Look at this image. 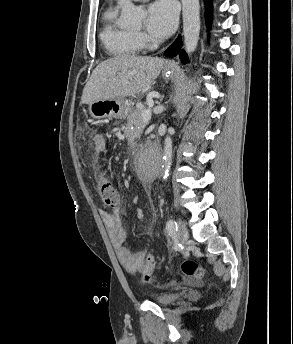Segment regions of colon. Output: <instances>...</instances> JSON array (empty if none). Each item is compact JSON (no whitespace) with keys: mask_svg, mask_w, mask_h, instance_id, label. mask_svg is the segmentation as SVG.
<instances>
[{"mask_svg":"<svg viewBox=\"0 0 293 344\" xmlns=\"http://www.w3.org/2000/svg\"><path fill=\"white\" fill-rule=\"evenodd\" d=\"M99 194L102 202L108 208H116L120 203V195L110 181L102 177L98 183ZM155 267V259L152 255H147L141 270L142 282L147 283L151 280L152 272ZM183 274L189 278L201 279L205 275L204 268L195 260L186 259L181 264Z\"/></svg>","mask_w":293,"mask_h":344,"instance_id":"1","label":"colon"}]
</instances>
